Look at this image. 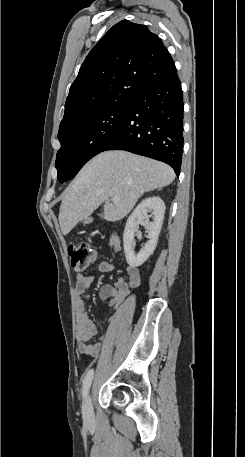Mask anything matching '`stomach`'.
Instances as JSON below:
<instances>
[{
    "label": "stomach",
    "instance_id": "obj_1",
    "mask_svg": "<svg viewBox=\"0 0 245 457\" xmlns=\"http://www.w3.org/2000/svg\"><path fill=\"white\" fill-rule=\"evenodd\" d=\"M84 222H89V218H86V220H84Z\"/></svg>",
    "mask_w": 245,
    "mask_h": 457
}]
</instances>
